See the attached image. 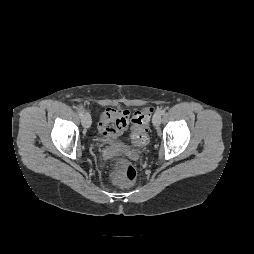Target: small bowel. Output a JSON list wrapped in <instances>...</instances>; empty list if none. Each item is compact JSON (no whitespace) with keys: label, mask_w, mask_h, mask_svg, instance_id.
I'll return each mask as SVG.
<instances>
[{"label":"small bowel","mask_w":254,"mask_h":254,"mask_svg":"<svg viewBox=\"0 0 254 254\" xmlns=\"http://www.w3.org/2000/svg\"><path fill=\"white\" fill-rule=\"evenodd\" d=\"M130 111L121 108H107L98 122L100 134L107 139H115L129 127Z\"/></svg>","instance_id":"obj_1"}]
</instances>
